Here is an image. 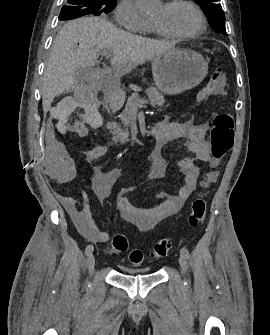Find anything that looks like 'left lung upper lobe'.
<instances>
[{"mask_svg":"<svg viewBox=\"0 0 270 335\" xmlns=\"http://www.w3.org/2000/svg\"><path fill=\"white\" fill-rule=\"evenodd\" d=\"M200 6L212 28L227 35L225 28V15L218 0H193Z\"/></svg>","mask_w":270,"mask_h":335,"instance_id":"left-lung-upper-lobe-1","label":"left lung upper lobe"}]
</instances>
